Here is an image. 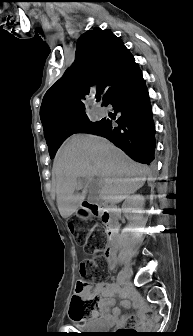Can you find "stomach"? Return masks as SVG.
I'll use <instances>...</instances> for the list:
<instances>
[{
  "instance_id": "obj_1",
  "label": "stomach",
  "mask_w": 193,
  "mask_h": 336,
  "mask_svg": "<svg viewBox=\"0 0 193 336\" xmlns=\"http://www.w3.org/2000/svg\"><path fill=\"white\" fill-rule=\"evenodd\" d=\"M76 215L81 219H88L91 216V212L83 207H80L76 210Z\"/></svg>"
}]
</instances>
